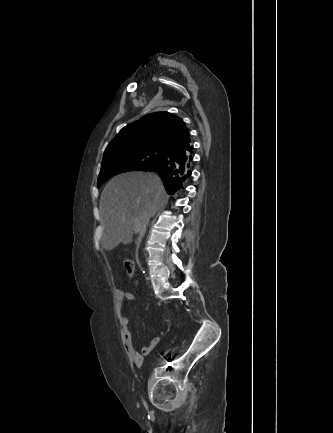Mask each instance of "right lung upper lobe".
I'll return each mask as SVG.
<instances>
[{
	"mask_svg": "<svg viewBox=\"0 0 333 433\" xmlns=\"http://www.w3.org/2000/svg\"><path fill=\"white\" fill-rule=\"evenodd\" d=\"M190 144L189 132L181 118L169 112H155L122 128L103 157L127 148H156L167 154Z\"/></svg>",
	"mask_w": 333,
	"mask_h": 433,
	"instance_id": "right-lung-upper-lobe-1",
	"label": "right lung upper lobe"
}]
</instances>
